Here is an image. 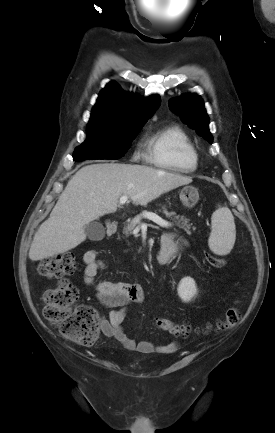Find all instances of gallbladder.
I'll return each instance as SVG.
<instances>
[{
    "mask_svg": "<svg viewBox=\"0 0 275 433\" xmlns=\"http://www.w3.org/2000/svg\"><path fill=\"white\" fill-rule=\"evenodd\" d=\"M85 233L92 241H99L105 236V228L100 222L94 221L85 226Z\"/></svg>",
    "mask_w": 275,
    "mask_h": 433,
    "instance_id": "gallbladder-1",
    "label": "gallbladder"
}]
</instances>
